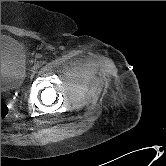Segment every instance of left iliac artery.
Listing matches in <instances>:
<instances>
[{
	"label": "left iliac artery",
	"mask_w": 166,
	"mask_h": 166,
	"mask_svg": "<svg viewBox=\"0 0 166 166\" xmlns=\"http://www.w3.org/2000/svg\"><path fill=\"white\" fill-rule=\"evenodd\" d=\"M42 65H43V62H41V61L37 62L38 67H41Z\"/></svg>",
	"instance_id": "44dca946"
}]
</instances>
